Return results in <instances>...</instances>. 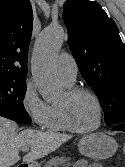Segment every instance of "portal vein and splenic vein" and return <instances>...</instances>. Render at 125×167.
Wrapping results in <instances>:
<instances>
[{"instance_id":"18ae733b","label":"portal vein and splenic vein","mask_w":125,"mask_h":167,"mask_svg":"<svg viewBox=\"0 0 125 167\" xmlns=\"http://www.w3.org/2000/svg\"><path fill=\"white\" fill-rule=\"evenodd\" d=\"M22 151H24V152L29 151V147H23V148H22Z\"/></svg>"}]
</instances>
